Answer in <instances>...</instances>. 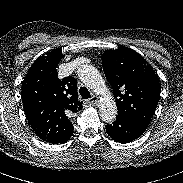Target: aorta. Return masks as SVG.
Here are the masks:
<instances>
[{
  "instance_id": "obj_1",
  "label": "aorta",
  "mask_w": 183,
  "mask_h": 183,
  "mask_svg": "<svg viewBox=\"0 0 183 183\" xmlns=\"http://www.w3.org/2000/svg\"><path fill=\"white\" fill-rule=\"evenodd\" d=\"M77 74L87 87L103 96L99 107L101 119L106 123L113 122L117 116V106L99 71L92 65L84 64L78 68Z\"/></svg>"
}]
</instances>
